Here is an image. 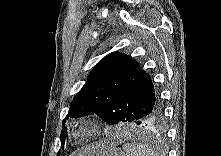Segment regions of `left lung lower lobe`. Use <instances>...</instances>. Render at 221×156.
<instances>
[{"mask_svg": "<svg viewBox=\"0 0 221 156\" xmlns=\"http://www.w3.org/2000/svg\"><path fill=\"white\" fill-rule=\"evenodd\" d=\"M127 124L140 129H163L165 127V120L161 101L154 110L143 114Z\"/></svg>", "mask_w": 221, "mask_h": 156, "instance_id": "0a47b994", "label": "left lung lower lobe"}]
</instances>
